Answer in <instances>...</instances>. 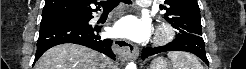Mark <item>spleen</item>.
<instances>
[{
    "instance_id": "spleen-1",
    "label": "spleen",
    "mask_w": 246,
    "mask_h": 69,
    "mask_svg": "<svg viewBox=\"0 0 246 69\" xmlns=\"http://www.w3.org/2000/svg\"><path fill=\"white\" fill-rule=\"evenodd\" d=\"M174 69H203L198 59L190 53L174 51L168 53Z\"/></svg>"
}]
</instances>
